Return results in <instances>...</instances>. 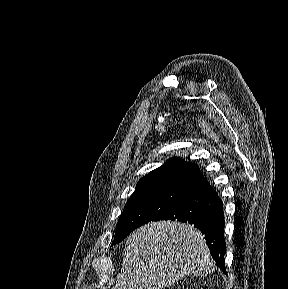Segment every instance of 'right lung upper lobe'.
I'll return each mask as SVG.
<instances>
[{"mask_svg": "<svg viewBox=\"0 0 288 289\" xmlns=\"http://www.w3.org/2000/svg\"><path fill=\"white\" fill-rule=\"evenodd\" d=\"M203 178L196 164L172 158L142 177L135 191L163 187L188 190Z\"/></svg>", "mask_w": 288, "mask_h": 289, "instance_id": "cb5924a9", "label": "right lung upper lobe"}]
</instances>
